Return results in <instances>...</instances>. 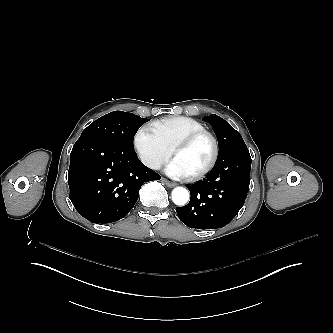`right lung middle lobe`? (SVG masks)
Here are the masks:
<instances>
[{
	"label": "right lung middle lobe",
	"instance_id": "right-lung-middle-lobe-1",
	"mask_svg": "<svg viewBox=\"0 0 333 333\" xmlns=\"http://www.w3.org/2000/svg\"><path fill=\"white\" fill-rule=\"evenodd\" d=\"M147 118H140L132 113L113 111L95 120L84 129L80 137L87 135L106 139L128 153H136L133 148V139Z\"/></svg>",
	"mask_w": 333,
	"mask_h": 333
}]
</instances>
